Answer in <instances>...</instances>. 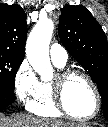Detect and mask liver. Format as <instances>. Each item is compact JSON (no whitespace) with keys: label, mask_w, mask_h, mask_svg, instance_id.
I'll list each match as a JSON object with an SVG mask.
<instances>
[{"label":"liver","mask_w":108,"mask_h":127,"mask_svg":"<svg viewBox=\"0 0 108 127\" xmlns=\"http://www.w3.org/2000/svg\"><path fill=\"white\" fill-rule=\"evenodd\" d=\"M0 127H90L87 123L63 122L16 113L11 116L0 114Z\"/></svg>","instance_id":"obj_1"}]
</instances>
